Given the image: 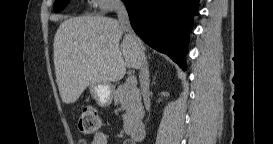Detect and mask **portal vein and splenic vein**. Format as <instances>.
Returning a JSON list of instances; mask_svg holds the SVG:
<instances>
[{
	"label": "portal vein and splenic vein",
	"instance_id": "portal-vein-and-splenic-vein-1",
	"mask_svg": "<svg viewBox=\"0 0 273 144\" xmlns=\"http://www.w3.org/2000/svg\"><path fill=\"white\" fill-rule=\"evenodd\" d=\"M126 84L130 87H134L137 84L136 78L134 76L128 77Z\"/></svg>",
	"mask_w": 273,
	"mask_h": 144
}]
</instances>
